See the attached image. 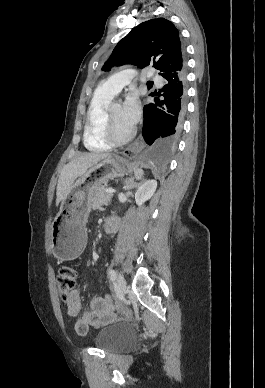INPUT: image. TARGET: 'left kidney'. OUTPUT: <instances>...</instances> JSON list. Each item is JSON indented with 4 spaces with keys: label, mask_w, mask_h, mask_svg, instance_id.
Instances as JSON below:
<instances>
[{
    "label": "left kidney",
    "mask_w": 265,
    "mask_h": 388,
    "mask_svg": "<svg viewBox=\"0 0 265 388\" xmlns=\"http://www.w3.org/2000/svg\"><path fill=\"white\" fill-rule=\"evenodd\" d=\"M156 188H157L156 180H147L145 184H142V186L138 188L135 194V200H136L137 206H142L144 202H147V200H150L153 194H155Z\"/></svg>",
    "instance_id": "5707ae66"
}]
</instances>
